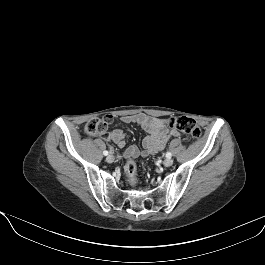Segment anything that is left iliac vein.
<instances>
[{
    "label": "left iliac vein",
    "instance_id": "obj_1",
    "mask_svg": "<svg viewBox=\"0 0 265 265\" xmlns=\"http://www.w3.org/2000/svg\"><path fill=\"white\" fill-rule=\"evenodd\" d=\"M164 166L169 167L173 164V160L171 158H167L163 162Z\"/></svg>",
    "mask_w": 265,
    "mask_h": 265
}]
</instances>
